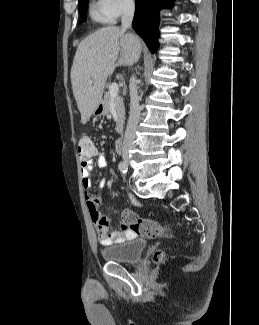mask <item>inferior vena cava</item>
<instances>
[{
    "mask_svg": "<svg viewBox=\"0 0 259 325\" xmlns=\"http://www.w3.org/2000/svg\"><path fill=\"white\" fill-rule=\"evenodd\" d=\"M134 0H125L123 6V12L121 17V29L126 30L131 27L132 20L134 17ZM135 78H133V82L130 87V112H129V119L124 135L123 141V150H129L132 148L134 144V140L136 137V130L139 123L140 112L141 108L139 105V96H138V89L136 84L134 83Z\"/></svg>",
    "mask_w": 259,
    "mask_h": 325,
    "instance_id": "602c4592",
    "label": "inferior vena cava"
}]
</instances>
